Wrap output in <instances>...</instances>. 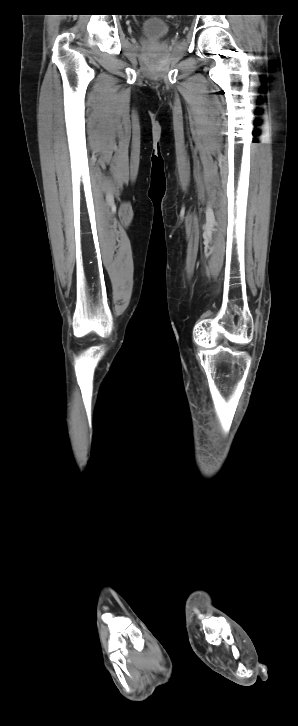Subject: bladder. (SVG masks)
<instances>
[{"label":"bladder","mask_w":298,"mask_h":726,"mask_svg":"<svg viewBox=\"0 0 298 726\" xmlns=\"http://www.w3.org/2000/svg\"><path fill=\"white\" fill-rule=\"evenodd\" d=\"M141 29L146 34L163 37L169 31V24L162 18L149 17L143 21Z\"/></svg>","instance_id":"obj_1"}]
</instances>
